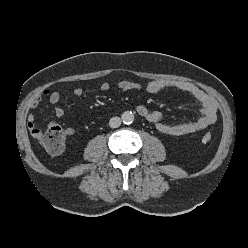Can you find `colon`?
<instances>
[{
  "instance_id": "colon-1",
  "label": "colon",
  "mask_w": 248,
  "mask_h": 248,
  "mask_svg": "<svg viewBox=\"0 0 248 248\" xmlns=\"http://www.w3.org/2000/svg\"><path fill=\"white\" fill-rule=\"evenodd\" d=\"M38 133V139L48 153L58 155L64 150L65 133L57 123L48 124L44 130H39ZM211 138L210 133L203 135L204 142H209Z\"/></svg>"
}]
</instances>
